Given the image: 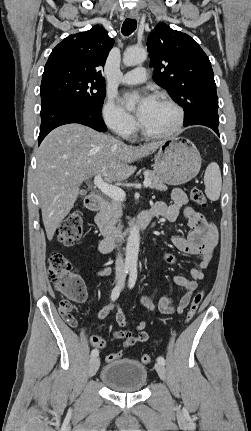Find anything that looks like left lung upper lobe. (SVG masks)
Here are the masks:
<instances>
[{"label":"left lung upper lobe","instance_id":"1","mask_svg":"<svg viewBox=\"0 0 251 431\" xmlns=\"http://www.w3.org/2000/svg\"><path fill=\"white\" fill-rule=\"evenodd\" d=\"M147 50L153 80L183 107L184 123L219 118L211 63L193 38L159 23L148 36Z\"/></svg>","mask_w":251,"mask_h":431}]
</instances>
